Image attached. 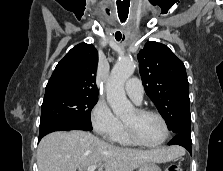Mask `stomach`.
Returning a JSON list of instances; mask_svg holds the SVG:
<instances>
[{"label": "stomach", "instance_id": "1", "mask_svg": "<svg viewBox=\"0 0 223 171\" xmlns=\"http://www.w3.org/2000/svg\"><path fill=\"white\" fill-rule=\"evenodd\" d=\"M138 171H161V169L154 162H147L141 165Z\"/></svg>", "mask_w": 223, "mask_h": 171}]
</instances>
